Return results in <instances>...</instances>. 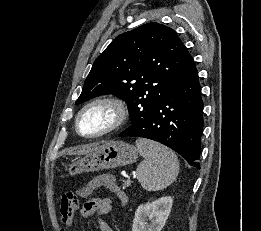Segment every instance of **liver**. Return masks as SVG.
<instances>
[{
  "label": "liver",
  "mask_w": 261,
  "mask_h": 231,
  "mask_svg": "<svg viewBox=\"0 0 261 231\" xmlns=\"http://www.w3.org/2000/svg\"><path fill=\"white\" fill-rule=\"evenodd\" d=\"M103 146H105V144L102 145V146H100L98 143L89 144V145H86V146H83V147H79L75 151H70L68 154H70V155H84V154H88V153L97 151L100 148H102Z\"/></svg>",
  "instance_id": "liver-1"
}]
</instances>
